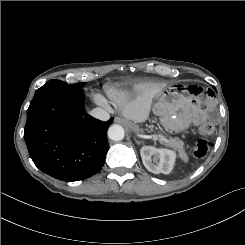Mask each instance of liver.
<instances>
[{
	"instance_id": "1",
	"label": "liver",
	"mask_w": 245,
	"mask_h": 245,
	"mask_svg": "<svg viewBox=\"0 0 245 245\" xmlns=\"http://www.w3.org/2000/svg\"><path fill=\"white\" fill-rule=\"evenodd\" d=\"M163 87V84L154 83L140 85L136 98L123 104V116L137 123L146 121L150 114L153 99Z\"/></svg>"
}]
</instances>
